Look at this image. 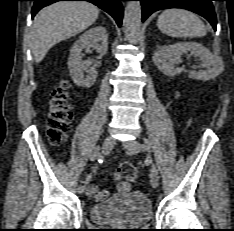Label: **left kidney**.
Wrapping results in <instances>:
<instances>
[{
  "instance_id": "obj_1",
  "label": "left kidney",
  "mask_w": 234,
  "mask_h": 231,
  "mask_svg": "<svg viewBox=\"0 0 234 231\" xmlns=\"http://www.w3.org/2000/svg\"><path fill=\"white\" fill-rule=\"evenodd\" d=\"M190 52L208 66L207 70L192 71L189 77L196 80L208 81L214 79L224 70L223 61L213 55L209 49L196 42H180L173 45L160 47L153 54V61L157 68L165 75L176 74L175 62L184 54Z\"/></svg>"
}]
</instances>
